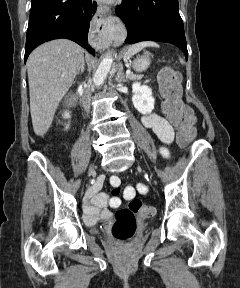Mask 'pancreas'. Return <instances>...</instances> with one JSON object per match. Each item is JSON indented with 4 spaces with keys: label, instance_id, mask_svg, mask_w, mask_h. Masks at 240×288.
Wrapping results in <instances>:
<instances>
[{
    "label": "pancreas",
    "instance_id": "cf45deb5",
    "mask_svg": "<svg viewBox=\"0 0 240 288\" xmlns=\"http://www.w3.org/2000/svg\"><path fill=\"white\" fill-rule=\"evenodd\" d=\"M127 78H128L129 80H135V79H139L140 76L131 73V74H128V75H127Z\"/></svg>",
    "mask_w": 240,
    "mask_h": 288
}]
</instances>
